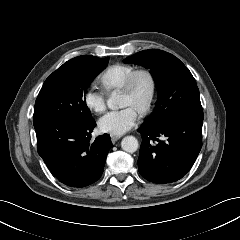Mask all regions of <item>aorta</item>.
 <instances>
[{
	"label": "aorta",
	"instance_id": "obj_1",
	"mask_svg": "<svg viewBox=\"0 0 240 240\" xmlns=\"http://www.w3.org/2000/svg\"><path fill=\"white\" fill-rule=\"evenodd\" d=\"M108 108L116 110L120 107L119 95L113 92L107 101ZM138 140L134 136H126L121 141V147L124 151L134 153L138 149Z\"/></svg>",
	"mask_w": 240,
	"mask_h": 240
}]
</instances>
